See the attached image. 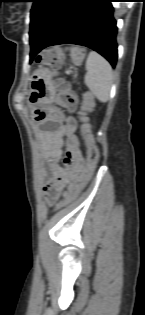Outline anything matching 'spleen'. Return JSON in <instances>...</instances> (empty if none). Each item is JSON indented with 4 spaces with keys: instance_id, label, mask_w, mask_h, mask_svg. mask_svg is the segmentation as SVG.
Here are the masks:
<instances>
[{
    "instance_id": "1",
    "label": "spleen",
    "mask_w": 145,
    "mask_h": 315,
    "mask_svg": "<svg viewBox=\"0 0 145 315\" xmlns=\"http://www.w3.org/2000/svg\"><path fill=\"white\" fill-rule=\"evenodd\" d=\"M85 84L101 102L109 100L113 81L112 67L100 54L91 51L86 60Z\"/></svg>"
}]
</instances>
